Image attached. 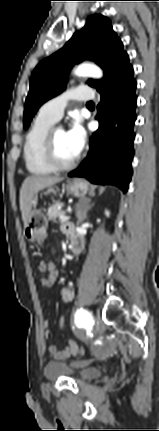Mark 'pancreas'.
<instances>
[{
	"instance_id": "1",
	"label": "pancreas",
	"mask_w": 159,
	"mask_h": 431,
	"mask_svg": "<svg viewBox=\"0 0 159 431\" xmlns=\"http://www.w3.org/2000/svg\"><path fill=\"white\" fill-rule=\"evenodd\" d=\"M62 207L63 203L61 202H56L55 204L50 206L47 212L48 220H52L55 222L58 217L64 214V212L61 210Z\"/></svg>"
}]
</instances>
